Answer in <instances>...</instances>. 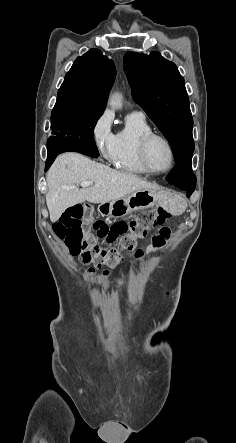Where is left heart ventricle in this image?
I'll return each mask as SVG.
<instances>
[{"label":"left heart ventricle","mask_w":236,"mask_h":443,"mask_svg":"<svg viewBox=\"0 0 236 443\" xmlns=\"http://www.w3.org/2000/svg\"><path fill=\"white\" fill-rule=\"evenodd\" d=\"M148 158L153 169L158 171L166 169L170 163L167 145L159 139L153 140L149 146Z\"/></svg>","instance_id":"left-heart-ventricle-1"}]
</instances>
